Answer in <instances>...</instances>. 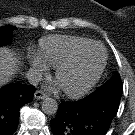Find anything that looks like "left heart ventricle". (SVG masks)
<instances>
[{
    "label": "left heart ventricle",
    "instance_id": "b2bd125f",
    "mask_svg": "<svg viewBox=\"0 0 135 135\" xmlns=\"http://www.w3.org/2000/svg\"><path fill=\"white\" fill-rule=\"evenodd\" d=\"M103 59L101 47H90L73 66L61 73L60 84L69 89L79 88L98 71Z\"/></svg>",
    "mask_w": 135,
    "mask_h": 135
}]
</instances>
